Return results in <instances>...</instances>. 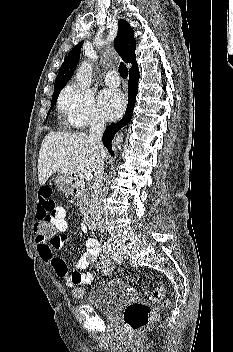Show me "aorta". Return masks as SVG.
<instances>
[{"mask_svg": "<svg viewBox=\"0 0 233 352\" xmlns=\"http://www.w3.org/2000/svg\"><path fill=\"white\" fill-rule=\"evenodd\" d=\"M76 80L80 88L87 89L91 85L92 81V64L90 62L84 61L78 67L76 72ZM123 141V134H117L112 142V148L114 150L120 148Z\"/></svg>", "mask_w": 233, "mask_h": 352, "instance_id": "aorta-1", "label": "aorta"}]
</instances>
